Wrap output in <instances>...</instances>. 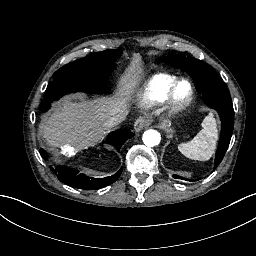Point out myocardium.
<instances>
[{
    "mask_svg": "<svg viewBox=\"0 0 256 256\" xmlns=\"http://www.w3.org/2000/svg\"><path fill=\"white\" fill-rule=\"evenodd\" d=\"M182 84H186L188 86V88H189V96H188V98L185 101L179 102L177 100V91H178V88ZM194 97H195L194 88H193L191 82L189 80H187V79L178 80L172 86V88H171L170 92L168 93V95L166 96L165 100L160 103L158 111L163 113L167 117H173L176 114H178L180 112H183L188 107H190L191 104L194 101ZM145 103H147L149 105L148 109H151V108L154 107V104L149 102V101H145Z\"/></svg>",
    "mask_w": 256,
    "mask_h": 256,
    "instance_id": "myocardium-1",
    "label": "myocardium"
}]
</instances>
